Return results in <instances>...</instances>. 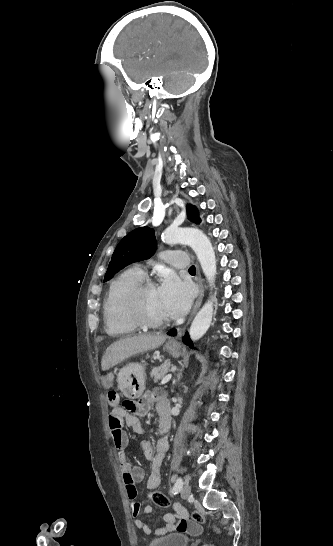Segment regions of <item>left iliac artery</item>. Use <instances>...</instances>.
Instances as JSON below:
<instances>
[{"label": "left iliac artery", "mask_w": 333, "mask_h": 546, "mask_svg": "<svg viewBox=\"0 0 333 546\" xmlns=\"http://www.w3.org/2000/svg\"><path fill=\"white\" fill-rule=\"evenodd\" d=\"M182 486H183V480H182L181 477H179V478H177V480H176V482H175V484H174V486H173V488L171 490V493L172 494H177L181 490Z\"/></svg>", "instance_id": "left-iliac-artery-1"}]
</instances>
